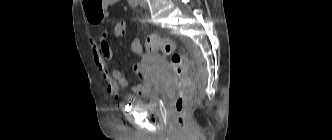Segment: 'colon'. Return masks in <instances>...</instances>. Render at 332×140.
I'll return each instance as SVG.
<instances>
[{"instance_id": "colon-1", "label": "colon", "mask_w": 332, "mask_h": 140, "mask_svg": "<svg viewBox=\"0 0 332 140\" xmlns=\"http://www.w3.org/2000/svg\"><path fill=\"white\" fill-rule=\"evenodd\" d=\"M104 4L105 0H83L88 19L100 22L104 15ZM103 32L108 34L111 38H120L127 32V23L125 21L114 22L105 27ZM144 48L146 51H159L170 57V63L178 78L174 110L178 123L184 125L195 104L191 63L188 57L184 53L176 52L175 45L170 39L155 35L147 37Z\"/></svg>"}]
</instances>
